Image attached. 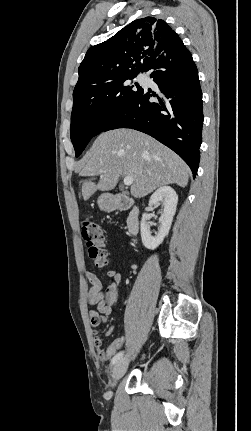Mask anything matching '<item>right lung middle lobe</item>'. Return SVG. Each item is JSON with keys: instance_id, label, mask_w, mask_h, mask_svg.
Segmentation results:
<instances>
[{"instance_id": "right-lung-middle-lobe-1", "label": "right lung middle lobe", "mask_w": 251, "mask_h": 431, "mask_svg": "<svg viewBox=\"0 0 251 431\" xmlns=\"http://www.w3.org/2000/svg\"><path fill=\"white\" fill-rule=\"evenodd\" d=\"M137 74L138 72L131 73L73 95L70 136L76 157L94 136L105 130L110 121L142 89L138 83L128 84V80Z\"/></svg>"}]
</instances>
